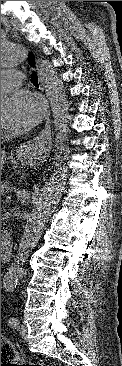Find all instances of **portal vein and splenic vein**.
Segmentation results:
<instances>
[{
    "mask_svg": "<svg viewBox=\"0 0 122 366\" xmlns=\"http://www.w3.org/2000/svg\"><path fill=\"white\" fill-rule=\"evenodd\" d=\"M11 199V196H6V200H10Z\"/></svg>",
    "mask_w": 122,
    "mask_h": 366,
    "instance_id": "obj_1",
    "label": "portal vein and splenic vein"
}]
</instances>
